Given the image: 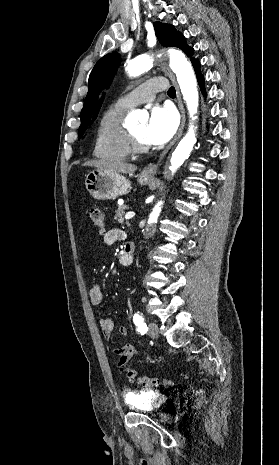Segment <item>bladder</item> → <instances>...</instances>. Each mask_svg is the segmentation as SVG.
Here are the masks:
<instances>
[{
    "label": "bladder",
    "instance_id": "obj_1",
    "mask_svg": "<svg viewBox=\"0 0 279 465\" xmlns=\"http://www.w3.org/2000/svg\"><path fill=\"white\" fill-rule=\"evenodd\" d=\"M166 401V396L154 391H130L126 394L128 407L136 412L157 411L164 406Z\"/></svg>",
    "mask_w": 279,
    "mask_h": 465
}]
</instances>
